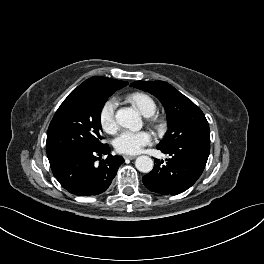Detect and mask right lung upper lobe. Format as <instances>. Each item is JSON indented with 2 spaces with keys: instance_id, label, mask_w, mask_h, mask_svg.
<instances>
[{
  "instance_id": "cb5924a9",
  "label": "right lung upper lobe",
  "mask_w": 264,
  "mask_h": 264,
  "mask_svg": "<svg viewBox=\"0 0 264 264\" xmlns=\"http://www.w3.org/2000/svg\"><path fill=\"white\" fill-rule=\"evenodd\" d=\"M128 82L115 80L107 77H91L84 81L78 89L102 90L114 93L115 91L125 87Z\"/></svg>"
}]
</instances>
